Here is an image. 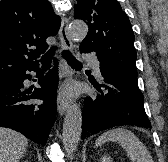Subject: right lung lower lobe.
Returning <instances> with one entry per match:
<instances>
[{
  "instance_id": "98d812e1",
  "label": "right lung lower lobe",
  "mask_w": 168,
  "mask_h": 162,
  "mask_svg": "<svg viewBox=\"0 0 168 162\" xmlns=\"http://www.w3.org/2000/svg\"><path fill=\"white\" fill-rule=\"evenodd\" d=\"M57 61L55 60V63ZM57 65L44 77L39 78L41 88L24 91L23 81L31 79L27 71L40 73L37 66L18 71L0 79V126L14 129L32 141L45 145L54 123L57 105ZM43 100V104H33L31 100Z\"/></svg>"
}]
</instances>
